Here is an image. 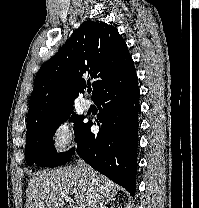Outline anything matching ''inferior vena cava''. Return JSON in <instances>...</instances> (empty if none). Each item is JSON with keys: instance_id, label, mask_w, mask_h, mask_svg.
I'll return each mask as SVG.
<instances>
[{"instance_id": "inferior-vena-cava-1", "label": "inferior vena cava", "mask_w": 199, "mask_h": 208, "mask_svg": "<svg viewBox=\"0 0 199 208\" xmlns=\"http://www.w3.org/2000/svg\"><path fill=\"white\" fill-rule=\"evenodd\" d=\"M77 164L82 169V171L87 173L92 178L86 207L87 208H101L103 198L99 193L98 186L93 176L92 169L82 159H78Z\"/></svg>"}]
</instances>
